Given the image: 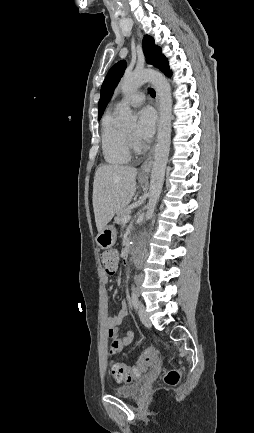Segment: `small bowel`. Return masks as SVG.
<instances>
[{"mask_svg": "<svg viewBox=\"0 0 254 433\" xmlns=\"http://www.w3.org/2000/svg\"><path fill=\"white\" fill-rule=\"evenodd\" d=\"M107 282V279L105 280ZM128 314V306L125 301L121 303L118 312L114 315H105L103 319V328L109 338H112V346L116 348V353L120 352L125 346L132 343L135 337L133 331H127L122 337H119L118 326L121 324L123 318ZM155 355L153 347L146 350Z\"/></svg>", "mask_w": 254, "mask_h": 433, "instance_id": "c3829d8e", "label": "small bowel"}]
</instances>
